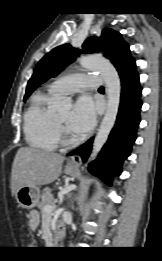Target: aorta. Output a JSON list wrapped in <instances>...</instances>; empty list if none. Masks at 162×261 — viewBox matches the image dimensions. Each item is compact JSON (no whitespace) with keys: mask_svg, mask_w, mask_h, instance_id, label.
Listing matches in <instances>:
<instances>
[{"mask_svg":"<svg viewBox=\"0 0 162 261\" xmlns=\"http://www.w3.org/2000/svg\"><path fill=\"white\" fill-rule=\"evenodd\" d=\"M83 68L98 71L105 82L107 94V109L93 142V150L89 160H93L106 143L115 125L121 95V82L114 66L106 59L98 56H86L79 59ZM71 107V99L63 98L56 103L58 111Z\"/></svg>","mask_w":162,"mask_h":261,"instance_id":"1","label":"aorta"}]
</instances>
